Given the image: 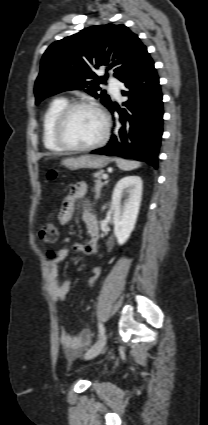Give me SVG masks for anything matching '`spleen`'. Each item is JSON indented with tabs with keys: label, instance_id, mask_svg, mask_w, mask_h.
I'll list each match as a JSON object with an SVG mask.
<instances>
[{
	"label": "spleen",
	"instance_id": "1",
	"mask_svg": "<svg viewBox=\"0 0 208 425\" xmlns=\"http://www.w3.org/2000/svg\"><path fill=\"white\" fill-rule=\"evenodd\" d=\"M117 166L123 171H130L141 166L138 161H131L122 158H116Z\"/></svg>",
	"mask_w": 208,
	"mask_h": 425
}]
</instances>
